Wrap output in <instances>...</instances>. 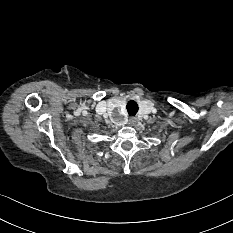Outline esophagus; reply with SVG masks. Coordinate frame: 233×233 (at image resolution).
I'll use <instances>...</instances> for the list:
<instances>
[{"instance_id": "obj_1", "label": "esophagus", "mask_w": 233, "mask_h": 233, "mask_svg": "<svg viewBox=\"0 0 233 233\" xmlns=\"http://www.w3.org/2000/svg\"><path fill=\"white\" fill-rule=\"evenodd\" d=\"M134 121H135L134 119H131V120H130L131 123H134Z\"/></svg>"}]
</instances>
